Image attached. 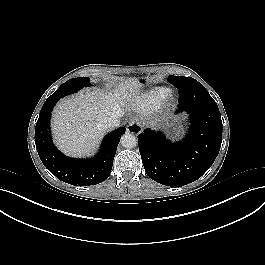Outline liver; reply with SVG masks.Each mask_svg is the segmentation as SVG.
Returning a JSON list of instances; mask_svg holds the SVG:
<instances>
[{
  "mask_svg": "<svg viewBox=\"0 0 265 265\" xmlns=\"http://www.w3.org/2000/svg\"><path fill=\"white\" fill-rule=\"evenodd\" d=\"M139 81L128 78L113 92L90 90L62 99L52 116V133L56 146L66 155L85 157L93 153L105 130L99 122L139 101Z\"/></svg>",
  "mask_w": 265,
  "mask_h": 265,
  "instance_id": "1",
  "label": "liver"
}]
</instances>
